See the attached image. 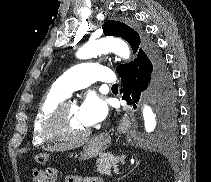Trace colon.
Wrapping results in <instances>:
<instances>
[{
    "label": "colon",
    "mask_w": 211,
    "mask_h": 182,
    "mask_svg": "<svg viewBox=\"0 0 211 182\" xmlns=\"http://www.w3.org/2000/svg\"><path fill=\"white\" fill-rule=\"evenodd\" d=\"M55 178L56 170L52 167H47L44 170H34L32 182H54Z\"/></svg>",
    "instance_id": "5ec220e1"
}]
</instances>
